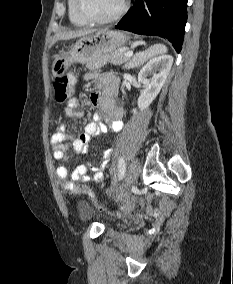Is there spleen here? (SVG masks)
<instances>
[{
	"mask_svg": "<svg viewBox=\"0 0 233 284\" xmlns=\"http://www.w3.org/2000/svg\"><path fill=\"white\" fill-rule=\"evenodd\" d=\"M165 52H167V48L165 45L163 44L153 45L147 51L135 55L136 64L142 63L146 61L147 59H149L150 57H153L155 55L162 54Z\"/></svg>",
	"mask_w": 233,
	"mask_h": 284,
	"instance_id": "obj_1",
	"label": "spleen"
}]
</instances>
